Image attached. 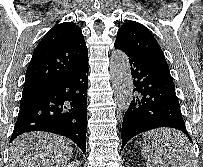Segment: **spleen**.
<instances>
[{"mask_svg":"<svg viewBox=\"0 0 203 167\" xmlns=\"http://www.w3.org/2000/svg\"><path fill=\"white\" fill-rule=\"evenodd\" d=\"M144 139L143 151L145 155L148 156L147 167H192L193 156L190 152L189 142L183 134H175L159 149L150 143L145 136ZM184 145L187 148L185 150L175 148ZM157 153H160V156L157 155ZM182 162H184V164H180Z\"/></svg>","mask_w":203,"mask_h":167,"instance_id":"obj_1","label":"spleen"}]
</instances>
